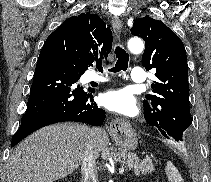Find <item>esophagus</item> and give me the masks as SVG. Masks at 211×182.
<instances>
[{"mask_svg":"<svg viewBox=\"0 0 211 182\" xmlns=\"http://www.w3.org/2000/svg\"><path fill=\"white\" fill-rule=\"evenodd\" d=\"M112 29L117 39L121 37L122 33V23L118 17H114L112 19ZM126 122L122 119H116L110 123V128L113 130H117L126 127Z\"/></svg>","mask_w":211,"mask_h":182,"instance_id":"obj_1","label":"esophagus"}]
</instances>
